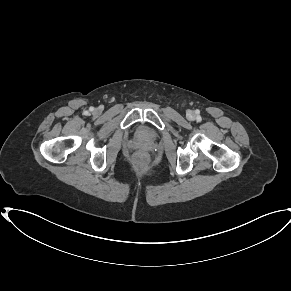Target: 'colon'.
Listing matches in <instances>:
<instances>
[{
    "instance_id": "5ec220e1",
    "label": "colon",
    "mask_w": 291,
    "mask_h": 291,
    "mask_svg": "<svg viewBox=\"0 0 291 291\" xmlns=\"http://www.w3.org/2000/svg\"><path fill=\"white\" fill-rule=\"evenodd\" d=\"M145 159H146V155H145L144 153H139V154H137V156H136V160H137L138 162H144Z\"/></svg>"
}]
</instances>
